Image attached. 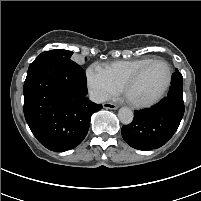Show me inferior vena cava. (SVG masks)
I'll list each match as a JSON object with an SVG mask.
<instances>
[{"label": "inferior vena cava", "mask_w": 201, "mask_h": 201, "mask_svg": "<svg viewBox=\"0 0 201 201\" xmlns=\"http://www.w3.org/2000/svg\"><path fill=\"white\" fill-rule=\"evenodd\" d=\"M89 98L92 102L100 104L107 100L108 96L102 92L90 91Z\"/></svg>", "instance_id": "1"}]
</instances>
